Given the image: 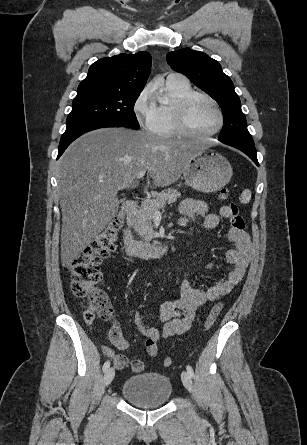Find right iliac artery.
Segmentation results:
<instances>
[{
	"instance_id": "right-iliac-artery-1",
	"label": "right iliac artery",
	"mask_w": 307,
	"mask_h": 445,
	"mask_svg": "<svg viewBox=\"0 0 307 445\" xmlns=\"http://www.w3.org/2000/svg\"><path fill=\"white\" fill-rule=\"evenodd\" d=\"M110 367V361L107 360L103 365V371L105 372Z\"/></svg>"
}]
</instances>
